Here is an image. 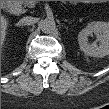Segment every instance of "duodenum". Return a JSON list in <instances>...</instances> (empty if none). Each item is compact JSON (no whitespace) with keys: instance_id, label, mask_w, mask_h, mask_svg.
Segmentation results:
<instances>
[{"instance_id":"duodenum-1","label":"duodenum","mask_w":109,"mask_h":109,"mask_svg":"<svg viewBox=\"0 0 109 109\" xmlns=\"http://www.w3.org/2000/svg\"><path fill=\"white\" fill-rule=\"evenodd\" d=\"M9 7H10V9H16V7L14 6L13 3H10V4H9Z\"/></svg>"}]
</instances>
